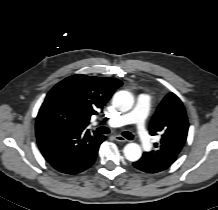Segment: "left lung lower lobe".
Here are the masks:
<instances>
[{
  "instance_id": "left-lung-lower-lobe-1",
  "label": "left lung lower lobe",
  "mask_w": 218,
  "mask_h": 210,
  "mask_svg": "<svg viewBox=\"0 0 218 210\" xmlns=\"http://www.w3.org/2000/svg\"><path fill=\"white\" fill-rule=\"evenodd\" d=\"M174 161L171 158H158L154 152H144L133 166L141 171L157 173L167 169Z\"/></svg>"
}]
</instances>
